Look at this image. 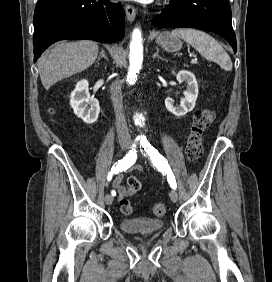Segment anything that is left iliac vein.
<instances>
[{
	"instance_id": "obj_1",
	"label": "left iliac vein",
	"mask_w": 272,
	"mask_h": 282,
	"mask_svg": "<svg viewBox=\"0 0 272 282\" xmlns=\"http://www.w3.org/2000/svg\"><path fill=\"white\" fill-rule=\"evenodd\" d=\"M170 199L173 202H177L178 201V193L175 190H171L169 193Z\"/></svg>"
}]
</instances>
